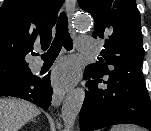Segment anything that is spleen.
<instances>
[{"label": "spleen", "instance_id": "spleen-1", "mask_svg": "<svg viewBox=\"0 0 151 131\" xmlns=\"http://www.w3.org/2000/svg\"><path fill=\"white\" fill-rule=\"evenodd\" d=\"M110 131H142L140 128L132 125H116Z\"/></svg>", "mask_w": 151, "mask_h": 131}]
</instances>
